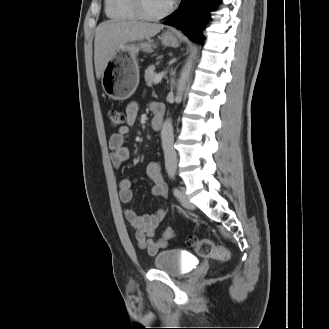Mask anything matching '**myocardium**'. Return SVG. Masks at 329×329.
Masks as SVG:
<instances>
[{
  "label": "myocardium",
  "instance_id": "myocardium-1",
  "mask_svg": "<svg viewBox=\"0 0 329 329\" xmlns=\"http://www.w3.org/2000/svg\"><path fill=\"white\" fill-rule=\"evenodd\" d=\"M133 9L138 17L144 21H158L168 16L173 11V4L171 3L168 8L159 14L148 13L143 5V0H130Z\"/></svg>",
  "mask_w": 329,
  "mask_h": 329
}]
</instances>
